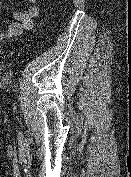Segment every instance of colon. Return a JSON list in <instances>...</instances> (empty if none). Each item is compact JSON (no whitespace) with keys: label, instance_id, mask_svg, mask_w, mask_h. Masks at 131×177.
<instances>
[{"label":"colon","instance_id":"5ec220e1","mask_svg":"<svg viewBox=\"0 0 131 177\" xmlns=\"http://www.w3.org/2000/svg\"><path fill=\"white\" fill-rule=\"evenodd\" d=\"M5 65L0 63V72L4 69Z\"/></svg>","mask_w":131,"mask_h":177}]
</instances>
